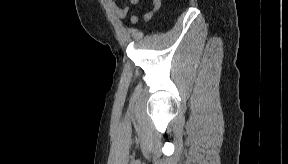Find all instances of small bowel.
Returning a JSON list of instances; mask_svg holds the SVG:
<instances>
[{"mask_svg":"<svg viewBox=\"0 0 288 164\" xmlns=\"http://www.w3.org/2000/svg\"><path fill=\"white\" fill-rule=\"evenodd\" d=\"M157 10H158V9H155V8H154V10H153L152 12L147 13V14L145 15V17H146L147 15L150 17V16L152 15V13L155 12V11H157Z\"/></svg>","mask_w":288,"mask_h":164,"instance_id":"obj_1","label":"small bowel"}]
</instances>
